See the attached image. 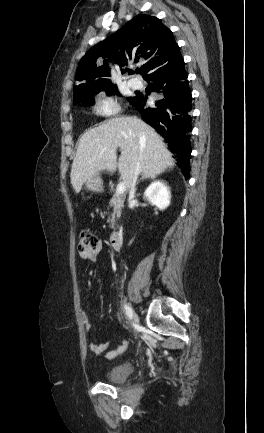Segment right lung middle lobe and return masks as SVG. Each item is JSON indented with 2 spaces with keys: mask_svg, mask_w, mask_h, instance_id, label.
<instances>
[{
  "mask_svg": "<svg viewBox=\"0 0 264 433\" xmlns=\"http://www.w3.org/2000/svg\"><path fill=\"white\" fill-rule=\"evenodd\" d=\"M105 92L107 93V95H115V94L119 95V92L117 91V87L109 88V89L105 90ZM95 94H97V93L89 94V95H87V96H85V97H83L77 101H74V105H76L78 103H83L85 105H91L94 101L92 96H94ZM132 99H133V97L129 98V101H131Z\"/></svg>",
  "mask_w": 264,
  "mask_h": 433,
  "instance_id": "obj_1",
  "label": "right lung middle lobe"
}]
</instances>
